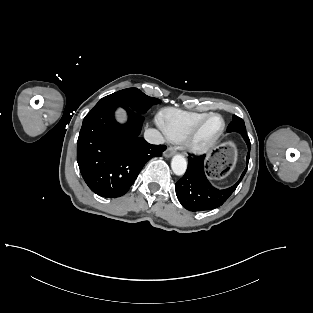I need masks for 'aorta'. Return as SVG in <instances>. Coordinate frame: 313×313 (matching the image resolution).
I'll return each mask as SVG.
<instances>
[{"instance_id":"obj_1","label":"aorta","mask_w":313,"mask_h":313,"mask_svg":"<svg viewBox=\"0 0 313 313\" xmlns=\"http://www.w3.org/2000/svg\"><path fill=\"white\" fill-rule=\"evenodd\" d=\"M171 168L175 175H184L187 169V162L184 156L180 154L175 155L171 161Z\"/></svg>"}]
</instances>
